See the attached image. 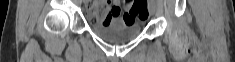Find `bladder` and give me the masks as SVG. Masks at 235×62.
I'll return each mask as SVG.
<instances>
[{
    "mask_svg": "<svg viewBox=\"0 0 235 62\" xmlns=\"http://www.w3.org/2000/svg\"><path fill=\"white\" fill-rule=\"evenodd\" d=\"M92 31L101 39L110 43H124L136 38L141 32L139 21L126 23L116 21L111 25L92 24Z\"/></svg>",
    "mask_w": 235,
    "mask_h": 62,
    "instance_id": "1",
    "label": "bladder"
}]
</instances>
